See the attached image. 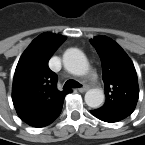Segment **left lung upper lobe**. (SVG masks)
I'll return each mask as SVG.
<instances>
[{
	"mask_svg": "<svg viewBox=\"0 0 145 145\" xmlns=\"http://www.w3.org/2000/svg\"><path fill=\"white\" fill-rule=\"evenodd\" d=\"M93 45L101 58L106 89V102L98 110L124 119L132 114L139 97L135 68L114 41L97 38Z\"/></svg>",
	"mask_w": 145,
	"mask_h": 145,
	"instance_id": "obj_1",
	"label": "left lung upper lobe"
}]
</instances>
